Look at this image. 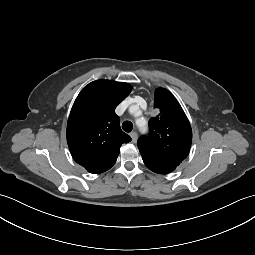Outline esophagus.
<instances>
[{"instance_id": "obj_1", "label": "esophagus", "mask_w": 255, "mask_h": 255, "mask_svg": "<svg viewBox=\"0 0 255 255\" xmlns=\"http://www.w3.org/2000/svg\"><path fill=\"white\" fill-rule=\"evenodd\" d=\"M130 136H131V138H132V142H133V143H136V142H137V138H138L137 133H136V132H132V133L130 134Z\"/></svg>"}]
</instances>
